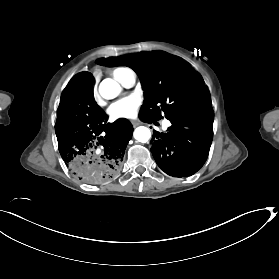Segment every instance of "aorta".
I'll return each instance as SVG.
<instances>
[{
  "instance_id": "aorta-1",
  "label": "aorta",
  "mask_w": 279,
  "mask_h": 279,
  "mask_svg": "<svg viewBox=\"0 0 279 279\" xmlns=\"http://www.w3.org/2000/svg\"><path fill=\"white\" fill-rule=\"evenodd\" d=\"M121 90V86L110 78L104 79L99 86V93L104 99H114L120 94ZM133 136L137 141L146 143L151 137V132L149 128L139 126L134 130Z\"/></svg>"
}]
</instances>
